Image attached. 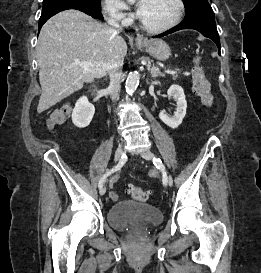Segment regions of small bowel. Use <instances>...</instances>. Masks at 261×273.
Here are the masks:
<instances>
[{
  "label": "small bowel",
  "instance_id": "obj_1",
  "mask_svg": "<svg viewBox=\"0 0 261 273\" xmlns=\"http://www.w3.org/2000/svg\"><path fill=\"white\" fill-rule=\"evenodd\" d=\"M71 107L69 105H65L59 109H56L50 116L47 121V125L49 128H54L57 125H62L66 122L69 114H70ZM110 197L113 200H117V194L115 191L110 192Z\"/></svg>",
  "mask_w": 261,
  "mask_h": 273
}]
</instances>
